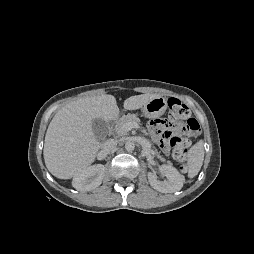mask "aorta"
Here are the masks:
<instances>
[{"label": "aorta", "mask_w": 254, "mask_h": 254, "mask_svg": "<svg viewBox=\"0 0 254 254\" xmlns=\"http://www.w3.org/2000/svg\"><path fill=\"white\" fill-rule=\"evenodd\" d=\"M125 149L129 152L133 151L135 149V144L133 141H127L125 143Z\"/></svg>", "instance_id": "762f6f07"}]
</instances>
